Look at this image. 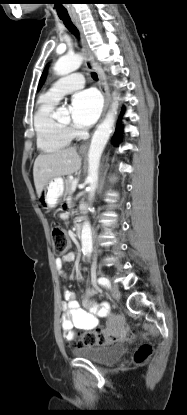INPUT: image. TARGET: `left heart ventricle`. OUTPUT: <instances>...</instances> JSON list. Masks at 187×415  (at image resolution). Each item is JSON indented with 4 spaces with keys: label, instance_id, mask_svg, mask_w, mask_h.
I'll return each mask as SVG.
<instances>
[{
    "label": "left heart ventricle",
    "instance_id": "left-heart-ventricle-1",
    "mask_svg": "<svg viewBox=\"0 0 187 415\" xmlns=\"http://www.w3.org/2000/svg\"><path fill=\"white\" fill-rule=\"evenodd\" d=\"M60 122L62 124H69L70 123V117H69V115H67L64 118H62V120Z\"/></svg>",
    "mask_w": 187,
    "mask_h": 415
}]
</instances>
